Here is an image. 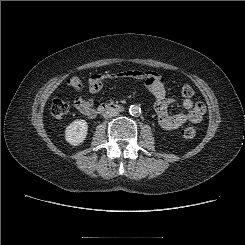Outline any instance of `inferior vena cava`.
Instances as JSON below:
<instances>
[{
	"label": "inferior vena cava",
	"mask_w": 245,
	"mask_h": 245,
	"mask_svg": "<svg viewBox=\"0 0 245 245\" xmlns=\"http://www.w3.org/2000/svg\"><path fill=\"white\" fill-rule=\"evenodd\" d=\"M118 114H119V111L117 109H109V110H107L106 112L103 113V117L105 119H108V118L114 117V116H116Z\"/></svg>",
	"instance_id": "obj_1"
}]
</instances>
